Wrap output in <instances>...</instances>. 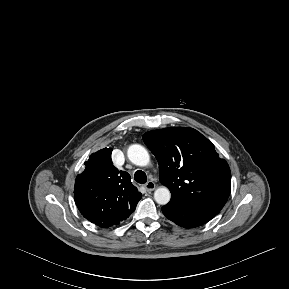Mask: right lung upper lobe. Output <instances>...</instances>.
I'll list each match as a JSON object with an SVG mask.
<instances>
[{"label": "right lung upper lobe", "instance_id": "right-lung-upper-lobe-1", "mask_svg": "<svg viewBox=\"0 0 289 289\" xmlns=\"http://www.w3.org/2000/svg\"><path fill=\"white\" fill-rule=\"evenodd\" d=\"M111 152V148H104L90 155L85 170L76 177L74 200L91 222H103L133 210L142 197L129 174L113 165Z\"/></svg>", "mask_w": 289, "mask_h": 289}]
</instances>
